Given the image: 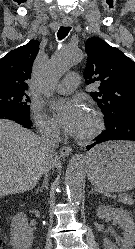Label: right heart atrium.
I'll use <instances>...</instances> for the list:
<instances>
[{"mask_svg":"<svg viewBox=\"0 0 135 249\" xmlns=\"http://www.w3.org/2000/svg\"><path fill=\"white\" fill-rule=\"evenodd\" d=\"M32 116L37 128L43 134L56 135L59 133L57 125L43 112L40 106L35 105Z\"/></svg>","mask_w":135,"mask_h":249,"instance_id":"d8ad5b80","label":"right heart atrium"}]
</instances>
